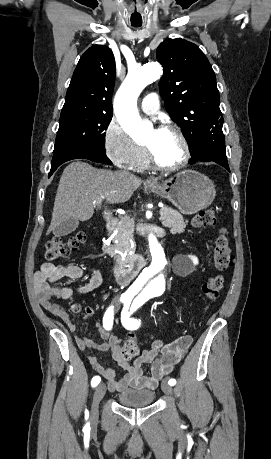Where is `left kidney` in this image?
Wrapping results in <instances>:
<instances>
[{"mask_svg":"<svg viewBox=\"0 0 271 459\" xmlns=\"http://www.w3.org/2000/svg\"><path fill=\"white\" fill-rule=\"evenodd\" d=\"M191 269H194V265H197L198 263V259L196 257V255H188V259H187Z\"/></svg>","mask_w":271,"mask_h":459,"instance_id":"1","label":"left kidney"}]
</instances>
